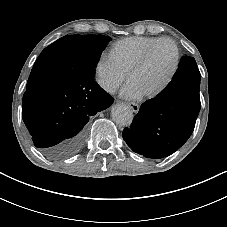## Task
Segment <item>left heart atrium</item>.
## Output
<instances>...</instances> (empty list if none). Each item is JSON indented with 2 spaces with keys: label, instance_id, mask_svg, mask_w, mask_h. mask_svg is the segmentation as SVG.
Masks as SVG:
<instances>
[{
  "label": "left heart atrium",
  "instance_id": "39dd6f15",
  "mask_svg": "<svg viewBox=\"0 0 227 227\" xmlns=\"http://www.w3.org/2000/svg\"><path fill=\"white\" fill-rule=\"evenodd\" d=\"M121 96L125 99H139L143 94L132 84L128 83L121 91Z\"/></svg>",
  "mask_w": 227,
  "mask_h": 227
}]
</instances>
